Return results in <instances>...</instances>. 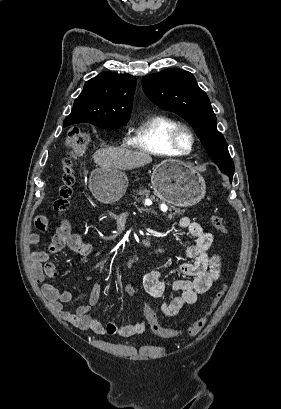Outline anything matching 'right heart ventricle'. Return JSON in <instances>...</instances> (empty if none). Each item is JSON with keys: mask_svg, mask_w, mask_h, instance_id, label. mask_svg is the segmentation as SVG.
<instances>
[{"mask_svg": "<svg viewBox=\"0 0 281 409\" xmlns=\"http://www.w3.org/2000/svg\"><path fill=\"white\" fill-rule=\"evenodd\" d=\"M182 127L183 123L170 115L152 114L135 128L131 145L156 157L181 156L183 154L174 145V135Z\"/></svg>", "mask_w": 281, "mask_h": 409, "instance_id": "e07e8e85", "label": "right heart ventricle"}]
</instances>
